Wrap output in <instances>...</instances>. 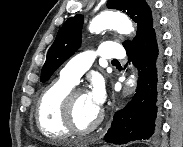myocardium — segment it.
I'll return each mask as SVG.
<instances>
[{"label":"myocardium","mask_w":183,"mask_h":147,"mask_svg":"<svg viewBox=\"0 0 183 147\" xmlns=\"http://www.w3.org/2000/svg\"><path fill=\"white\" fill-rule=\"evenodd\" d=\"M87 92L82 88H73L64 98L62 102V120L65 127L70 133L77 135H86L93 132L103 121L104 112L102 109L99 110L98 116L94 122L87 128H79L73 116L74 102L78 95L86 94Z\"/></svg>","instance_id":"obj_1"}]
</instances>
